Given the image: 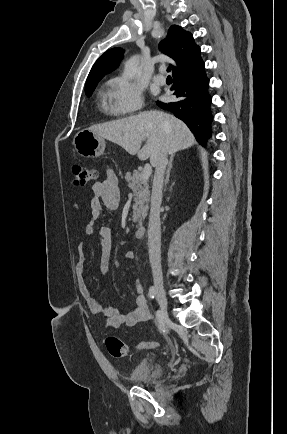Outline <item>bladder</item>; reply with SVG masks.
Instances as JSON below:
<instances>
[{
    "label": "bladder",
    "mask_w": 287,
    "mask_h": 434,
    "mask_svg": "<svg viewBox=\"0 0 287 434\" xmlns=\"http://www.w3.org/2000/svg\"><path fill=\"white\" fill-rule=\"evenodd\" d=\"M166 365L155 357L141 361L127 376L136 385L150 386L166 373Z\"/></svg>",
    "instance_id": "31cf9c89"
}]
</instances>
